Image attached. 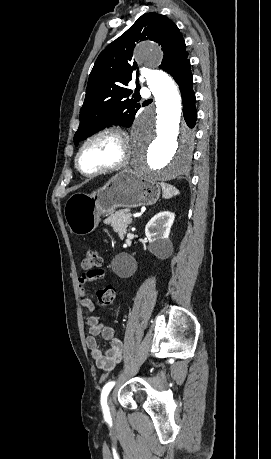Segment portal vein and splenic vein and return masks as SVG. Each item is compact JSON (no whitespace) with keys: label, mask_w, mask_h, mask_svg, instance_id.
Returning <instances> with one entry per match:
<instances>
[{"label":"portal vein and splenic vein","mask_w":271,"mask_h":459,"mask_svg":"<svg viewBox=\"0 0 271 459\" xmlns=\"http://www.w3.org/2000/svg\"><path fill=\"white\" fill-rule=\"evenodd\" d=\"M126 217H132V213H131V212H130V213L128 212V213L126 214Z\"/></svg>","instance_id":"portal-vein-and-splenic-vein-1"}]
</instances>
